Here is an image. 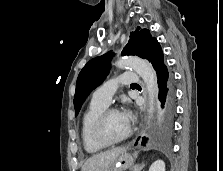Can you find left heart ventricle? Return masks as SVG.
<instances>
[{"label":"left heart ventricle","instance_id":"1","mask_svg":"<svg viewBox=\"0 0 223 171\" xmlns=\"http://www.w3.org/2000/svg\"><path fill=\"white\" fill-rule=\"evenodd\" d=\"M128 129L129 123L120 112L110 114L103 126L104 135L110 140L121 138L127 133Z\"/></svg>","mask_w":223,"mask_h":171}]
</instances>
